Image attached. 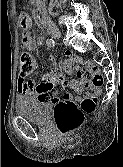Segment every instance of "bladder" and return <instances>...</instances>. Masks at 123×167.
Returning <instances> with one entry per match:
<instances>
[{
    "label": "bladder",
    "mask_w": 123,
    "mask_h": 167,
    "mask_svg": "<svg viewBox=\"0 0 123 167\" xmlns=\"http://www.w3.org/2000/svg\"><path fill=\"white\" fill-rule=\"evenodd\" d=\"M51 108V102L29 97L18 98L15 102L16 113L36 124H45L47 122Z\"/></svg>",
    "instance_id": "31cf9c89"
}]
</instances>
